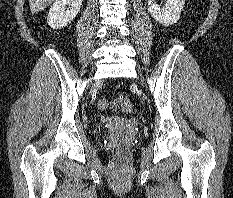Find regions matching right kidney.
<instances>
[{
  "label": "right kidney",
  "mask_w": 233,
  "mask_h": 198,
  "mask_svg": "<svg viewBox=\"0 0 233 198\" xmlns=\"http://www.w3.org/2000/svg\"><path fill=\"white\" fill-rule=\"evenodd\" d=\"M82 0H56L50 8L47 24L53 29L68 25L78 14Z\"/></svg>",
  "instance_id": "obj_1"
}]
</instances>
